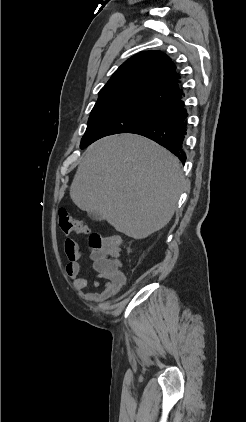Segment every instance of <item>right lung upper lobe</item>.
<instances>
[{"label":"right lung upper lobe","instance_id":"1","mask_svg":"<svg viewBox=\"0 0 246 422\" xmlns=\"http://www.w3.org/2000/svg\"><path fill=\"white\" fill-rule=\"evenodd\" d=\"M180 75L161 51H143L125 61L100 90L95 106L140 105L160 108L182 97Z\"/></svg>","mask_w":246,"mask_h":422}]
</instances>
